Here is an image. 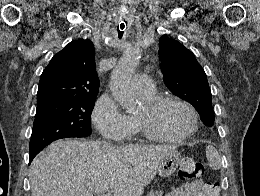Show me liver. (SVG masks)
Returning <instances> with one entry per match:
<instances>
[{
    "mask_svg": "<svg viewBox=\"0 0 260 196\" xmlns=\"http://www.w3.org/2000/svg\"><path fill=\"white\" fill-rule=\"evenodd\" d=\"M178 146H121L110 142L56 140L34 158L31 196H142L159 162Z\"/></svg>",
    "mask_w": 260,
    "mask_h": 196,
    "instance_id": "6515ba94",
    "label": "liver"
}]
</instances>
